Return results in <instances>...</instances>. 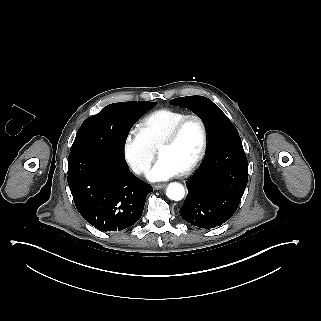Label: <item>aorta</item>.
I'll use <instances>...</instances> for the list:
<instances>
[{"instance_id":"1","label":"aorta","mask_w":321,"mask_h":321,"mask_svg":"<svg viewBox=\"0 0 321 321\" xmlns=\"http://www.w3.org/2000/svg\"><path fill=\"white\" fill-rule=\"evenodd\" d=\"M166 195L171 200L179 201L183 199L185 195L184 187L179 183H170Z\"/></svg>"}]
</instances>
